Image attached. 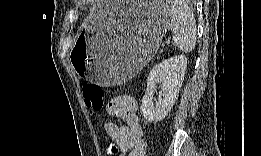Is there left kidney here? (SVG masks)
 <instances>
[{"label": "left kidney", "instance_id": "5707ae66", "mask_svg": "<svg viewBox=\"0 0 261 156\" xmlns=\"http://www.w3.org/2000/svg\"><path fill=\"white\" fill-rule=\"evenodd\" d=\"M186 68V56L176 55L156 64L150 71L141 104L143 117L147 121L158 122L167 116L178 97ZM157 83L161 84L162 98L154 105L152 100Z\"/></svg>", "mask_w": 261, "mask_h": 156}]
</instances>
